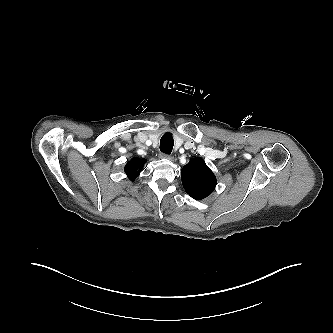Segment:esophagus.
I'll return each mask as SVG.
<instances>
[{"label":"esophagus","instance_id":"esophagus-1","mask_svg":"<svg viewBox=\"0 0 333 333\" xmlns=\"http://www.w3.org/2000/svg\"><path fill=\"white\" fill-rule=\"evenodd\" d=\"M160 158L161 159H167V160H173L174 159L171 155L165 154V153H161Z\"/></svg>","mask_w":333,"mask_h":333}]
</instances>
